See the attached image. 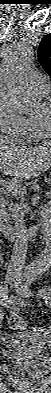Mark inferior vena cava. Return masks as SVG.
<instances>
[{
	"label": "inferior vena cava",
	"mask_w": 51,
	"mask_h": 393,
	"mask_svg": "<svg viewBox=\"0 0 51 393\" xmlns=\"http://www.w3.org/2000/svg\"><path fill=\"white\" fill-rule=\"evenodd\" d=\"M10 209L12 212V218L15 222L16 241L9 261L7 273L15 275L21 274L24 269L28 249V238L22 207L15 203L11 205Z\"/></svg>",
	"instance_id": "602c4592"
}]
</instances>
